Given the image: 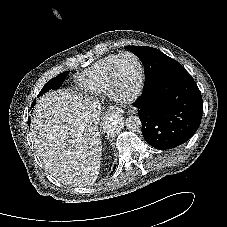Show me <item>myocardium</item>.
<instances>
[{"label":"myocardium","mask_w":227,"mask_h":227,"mask_svg":"<svg viewBox=\"0 0 227 227\" xmlns=\"http://www.w3.org/2000/svg\"><path fill=\"white\" fill-rule=\"evenodd\" d=\"M127 56L132 57L136 61L139 67V81L134 92L128 96H125V95H121L118 91L116 78H115V69H116L117 63L122 58ZM107 80H108V94L111 96L112 99L123 104L134 102L142 94L144 84H145V68L141 59L132 52H123L119 54L109 68Z\"/></svg>","instance_id":"1"}]
</instances>
